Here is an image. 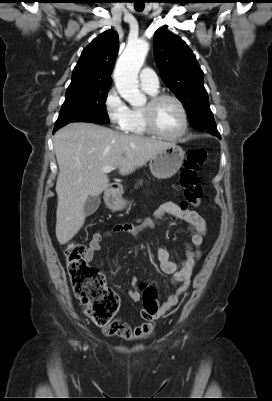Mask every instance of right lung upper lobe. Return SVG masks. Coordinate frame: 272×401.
<instances>
[{
	"mask_svg": "<svg viewBox=\"0 0 272 401\" xmlns=\"http://www.w3.org/2000/svg\"><path fill=\"white\" fill-rule=\"evenodd\" d=\"M118 48V35L114 30H108L95 38L82 51L66 93L111 86L110 75Z\"/></svg>",
	"mask_w": 272,
	"mask_h": 401,
	"instance_id": "right-lung-upper-lobe-1",
	"label": "right lung upper lobe"
}]
</instances>
